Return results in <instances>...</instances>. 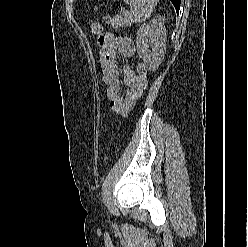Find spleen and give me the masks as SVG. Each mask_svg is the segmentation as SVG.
<instances>
[{
  "instance_id": "1",
  "label": "spleen",
  "mask_w": 248,
  "mask_h": 247,
  "mask_svg": "<svg viewBox=\"0 0 248 247\" xmlns=\"http://www.w3.org/2000/svg\"><path fill=\"white\" fill-rule=\"evenodd\" d=\"M159 0H124L130 6L129 21L140 23L148 19Z\"/></svg>"
}]
</instances>
